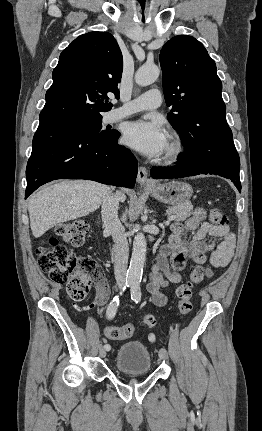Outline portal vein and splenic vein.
<instances>
[{"instance_id":"portal-vein-and-splenic-vein-1","label":"portal vein and splenic vein","mask_w":262,"mask_h":431,"mask_svg":"<svg viewBox=\"0 0 262 431\" xmlns=\"http://www.w3.org/2000/svg\"><path fill=\"white\" fill-rule=\"evenodd\" d=\"M175 219H176V215H171V216L168 218V221H166V224H169V223H170V221L175 220Z\"/></svg>"}]
</instances>
